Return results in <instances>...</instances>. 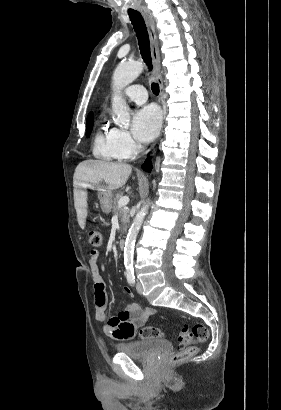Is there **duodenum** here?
I'll list each match as a JSON object with an SVG mask.
<instances>
[{
    "label": "duodenum",
    "instance_id": "410a0bca",
    "mask_svg": "<svg viewBox=\"0 0 281 410\" xmlns=\"http://www.w3.org/2000/svg\"><path fill=\"white\" fill-rule=\"evenodd\" d=\"M125 244H126L125 240H120V241L118 242V247H119L120 249H124Z\"/></svg>",
    "mask_w": 281,
    "mask_h": 410
}]
</instances>
